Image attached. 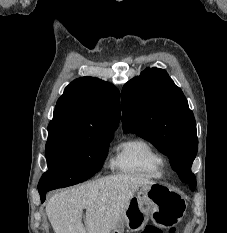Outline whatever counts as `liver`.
Returning <instances> with one entry per match:
<instances>
[{
    "label": "liver",
    "mask_w": 227,
    "mask_h": 233,
    "mask_svg": "<svg viewBox=\"0 0 227 233\" xmlns=\"http://www.w3.org/2000/svg\"><path fill=\"white\" fill-rule=\"evenodd\" d=\"M155 182L138 174L99 178L55 194L46 204V214L55 233H110L134 193ZM86 209V226L82 212Z\"/></svg>",
    "instance_id": "6515ba94"
}]
</instances>
